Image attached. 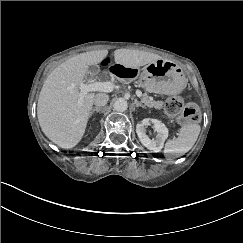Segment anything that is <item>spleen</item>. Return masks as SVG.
<instances>
[{"label":"spleen","mask_w":243,"mask_h":243,"mask_svg":"<svg viewBox=\"0 0 243 243\" xmlns=\"http://www.w3.org/2000/svg\"><path fill=\"white\" fill-rule=\"evenodd\" d=\"M200 131L199 124H188L181 127L178 138L166 142L164 153L184 154L188 152L196 143Z\"/></svg>","instance_id":"spleen-1"}]
</instances>
